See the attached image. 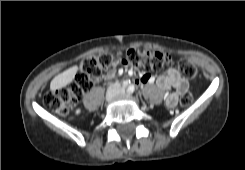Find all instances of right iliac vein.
<instances>
[{
	"label": "right iliac vein",
	"mask_w": 245,
	"mask_h": 170,
	"mask_svg": "<svg viewBox=\"0 0 245 170\" xmlns=\"http://www.w3.org/2000/svg\"><path fill=\"white\" fill-rule=\"evenodd\" d=\"M115 97V92L113 90H109L106 93V101H111Z\"/></svg>",
	"instance_id": "obj_1"
}]
</instances>
